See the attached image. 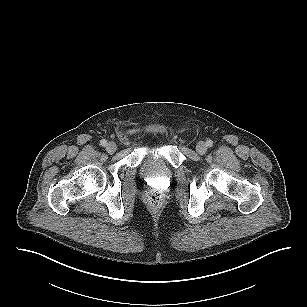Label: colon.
I'll return each instance as SVG.
<instances>
[{"label": "colon", "instance_id": "1", "mask_svg": "<svg viewBox=\"0 0 307 307\" xmlns=\"http://www.w3.org/2000/svg\"><path fill=\"white\" fill-rule=\"evenodd\" d=\"M162 200V194L156 189H151L147 193V202L153 208L159 207L162 204Z\"/></svg>", "mask_w": 307, "mask_h": 307}]
</instances>
